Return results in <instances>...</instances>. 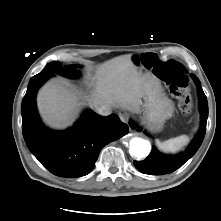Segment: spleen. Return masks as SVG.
<instances>
[{
	"mask_svg": "<svg viewBox=\"0 0 221 221\" xmlns=\"http://www.w3.org/2000/svg\"><path fill=\"white\" fill-rule=\"evenodd\" d=\"M187 142H188V136L181 135L175 138L165 140L163 142L156 141V145L162 152L174 153L178 151L179 149H181Z\"/></svg>",
	"mask_w": 221,
	"mask_h": 221,
	"instance_id": "obj_1",
	"label": "spleen"
}]
</instances>
